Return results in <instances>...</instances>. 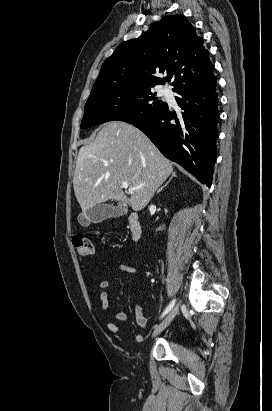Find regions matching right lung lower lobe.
Returning <instances> with one entry per match:
<instances>
[{
    "instance_id": "1",
    "label": "right lung lower lobe",
    "mask_w": 272,
    "mask_h": 411,
    "mask_svg": "<svg viewBox=\"0 0 272 411\" xmlns=\"http://www.w3.org/2000/svg\"><path fill=\"white\" fill-rule=\"evenodd\" d=\"M216 79L175 91L182 109L179 118L168 104L153 116L133 122L168 159L211 186L216 159L219 118Z\"/></svg>"
}]
</instances>
